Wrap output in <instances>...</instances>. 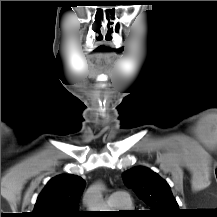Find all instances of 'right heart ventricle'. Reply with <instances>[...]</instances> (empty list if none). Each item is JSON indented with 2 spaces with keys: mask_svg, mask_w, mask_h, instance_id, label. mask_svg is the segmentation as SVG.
Masks as SVG:
<instances>
[{
  "mask_svg": "<svg viewBox=\"0 0 217 217\" xmlns=\"http://www.w3.org/2000/svg\"><path fill=\"white\" fill-rule=\"evenodd\" d=\"M132 207H133V203L131 201L128 205L123 206L122 209H130Z\"/></svg>",
  "mask_w": 217,
  "mask_h": 217,
  "instance_id": "1",
  "label": "right heart ventricle"
}]
</instances>
